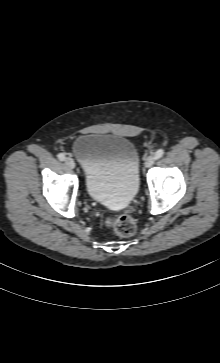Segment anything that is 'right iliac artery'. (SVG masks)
Returning a JSON list of instances; mask_svg holds the SVG:
<instances>
[{
    "label": "right iliac artery",
    "instance_id": "obj_1",
    "mask_svg": "<svg viewBox=\"0 0 220 363\" xmlns=\"http://www.w3.org/2000/svg\"><path fill=\"white\" fill-rule=\"evenodd\" d=\"M58 159H59L60 161H64V160H65V155H64L63 153H59V154H58Z\"/></svg>",
    "mask_w": 220,
    "mask_h": 363
}]
</instances>
